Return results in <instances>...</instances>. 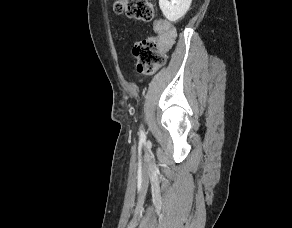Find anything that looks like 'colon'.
Returning <instances> with one entry per match:
<instances>
[{"mask_svg": "<svg viewBox=\"0 0 292 228\" xmlns=\"http://www.w3.org/2000/svg\"><path fill=\"white\" fill-rule=\"evenodd\" d=\"M114 11L128 18L149 22L154 17V8L146 0H117ZM156 36L146 38L134 44L132 54L137 71L152 74L165 62V53L174 40L173 29L164 22L155 24Z\"/></svg>", "mask_w": 292, "mask_h": 228, "instance_id": "colon-1", "label": "colon"}]
</instances>
